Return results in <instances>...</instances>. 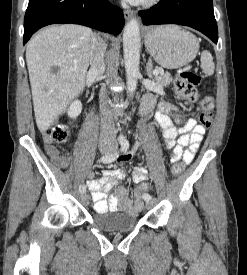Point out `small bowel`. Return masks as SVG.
<instances>
[{"label": "small bowel", "mask_w": 247, "mask_h": 275, "mask_svg": "<svg viewBox=\"0 0 247 275\" xmlns=\"http://www.w3.org/2000/svg\"><path fill=\"white\" fill-rule=\"evenodd\" d=\"M152 104L153 100L147 98L146 108L151 107ZM174 113H178V109L170 103L164 102L160 104V110L155 113L154 119L162 129L166 147L172 150L171 163L182 160L185 164H189L193 161L202 142L205 129L194 119L187 120L183 126L178 128L170 117ZM45 152L57 167L64 169L70 166V158L60 154L54 146L47 144ZM131 157L130 153L125 154L118 159V162H127ZM124 177V172L114 167L104 169L99 178H96L93 171L87 173V186L92 194L96 212L121 211L131 214L140 212L143 206L142 195L135 193L131 196L126 189L116 187ZM147 178L146 168L137 166L134 170L133 181L140 185ZM111 191L112 193L108 197V193Z\"/></svg>", "instance_id": "obj_1"}]
</instances>
